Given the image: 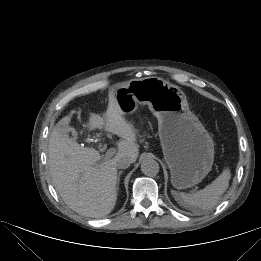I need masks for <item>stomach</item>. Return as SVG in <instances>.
Masks as SVG:
<instances>
[{
	"label": "stomach",
	"mask_w": 261,
	"mask_h": 261,
	"mask_svg": "<svg viewBox=\"0 0 261 261\" xmlns=\"http://www.w3.org/2000/svg\"><path fill=\"white\" fill-rule=\"evenodd\" d=\"M115 98L125 115L134 113L139 105H148L156 116L174 188H191L211 171L214 142L190 111L186 96L178 86L154 76L133 79L116 88Z\"/></svg>",
	"instance_id": "obj_1"
}]
</instances>
